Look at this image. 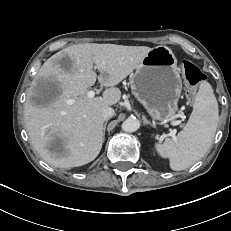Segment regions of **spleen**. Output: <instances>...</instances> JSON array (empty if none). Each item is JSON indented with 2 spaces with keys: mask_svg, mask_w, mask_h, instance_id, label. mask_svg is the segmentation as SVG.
Segmentation results:
<instances>
[{
  "mask_svg": "<svg viewBox=\"0 0 231 231\" xmlns=\"http://www.w3.org/2000/svg\"><path fill=\"white\" fill-rule=\"evenodd\" d=\"M217 99L208 82L200 84L188 123L178 135L155 145L158 154L169 158L170 168L180 171L199 161L210 148L219 120Z\"/></svg>",
  "mask_w": 231,
  "mask_h": 231,
  "instance_id": "1",
  "label": "spleen"
}]
</instances>
